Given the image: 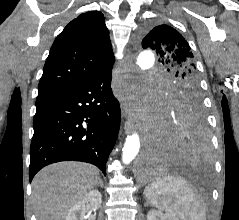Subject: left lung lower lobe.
<instances>
[{
    "label": "left lung lower lobe",
    "mask_w": 239,
    "mask_h": 220,
    "mask_svg": "<svg viewBox=\"0 0 239 220\" xmlns=\"http://www.w3.org/2000/svg\"><path fill=\"white\" fill-rule=\"evenodd\" d=\"M208 152L209 137L202 110L170 111L163 108L140 169L145 174L163 172L176 164L197 163Z\"/></svg>",
    "instance_id": "1"
}]
</instances>
